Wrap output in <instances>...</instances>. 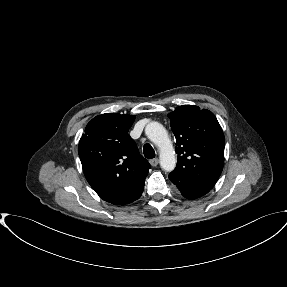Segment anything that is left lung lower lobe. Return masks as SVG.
Instances as JSON below:
<instances>
[{
  "instance_id": "1",
  "label": "left lung lower lobe",
  "mask_w": 287,
  "mask_h": 287,
  "mask_svg": "<svg viewBox=\"0 0 287 287\" xmlns=\"http://www.w3.org/2000/svg\"><path fill=\"white\" fill-rule=\"evenodd\" d=\"M181 194L188 199H195V198L201 197V196H194V195H190V194H186V193H181Z\"/></svg>"
}]
</instances>
